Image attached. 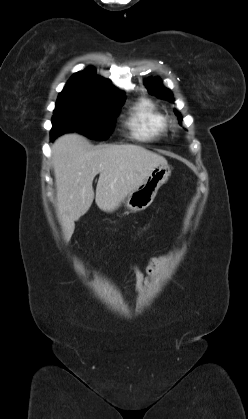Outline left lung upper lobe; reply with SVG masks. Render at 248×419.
I'll list each match as a JSON object with an SVG mask.
<instances>
[{
    "instance_id": "obj_1",
    "label": "left lung upper lobe",
    "mask_w": 248,
    "mask_h": 419,
    "mask_svg": "<svg viewBox=\"0 0 248 419\" xmlns=\"http://www.w3.org/2000/svg\"><path fill=\"white\" fill-rule=\"evenodd\" d=\"M147 89L150 93L169 100L170 102H173V95L169 89H166L162 83L161 80L158 78L151 79L147 83ZM175 114L178 116L179 122L181 123L182 117L181 115L175 111Z\"/></svg>"
}]
</instances>
